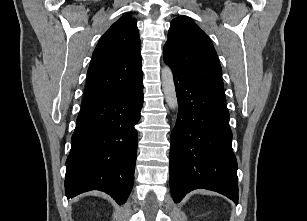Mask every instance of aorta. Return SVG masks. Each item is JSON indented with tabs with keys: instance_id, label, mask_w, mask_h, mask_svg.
<instances>
[{
	"instance_id": "1",
	"label": "aorta",
	"mask_w": 307,
	"mask_h": 221,
	"mask_svg": "<svg viewBox=\"0 0 307 221\" xmlns=\"http://www.w3.org/2000/svg\"><path fill=\"white\" fill-rule=\"evenodd\" d=\"M161 80L166 103L171 109L175 110L178 108V99L173 79V73L170 67L165 66L161 70Z\"/></svg>"
}]
</instances>
